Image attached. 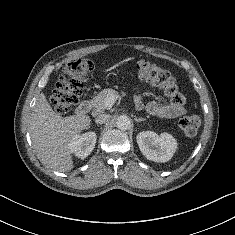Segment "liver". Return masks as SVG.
I'll return each instance as SVG.
<instances>
[{
    "instance_id": "6515ba94",
    "label": "liver",
    "mask_w": 235,
    "mask_h": 235,
    "mask_svg": "<svg viewBox=\"0 0 235 235\" xmlns=\"http://www.w3.org/2000/svg\"><path fill=\"white\" fill-rule=\"evenodd\" d=\"M87 115L62 117L55 113L41 93L31 114V138L41 160L59 172L73 168L69 143L90 125Z\"/></svg>"
}]
</instances>
